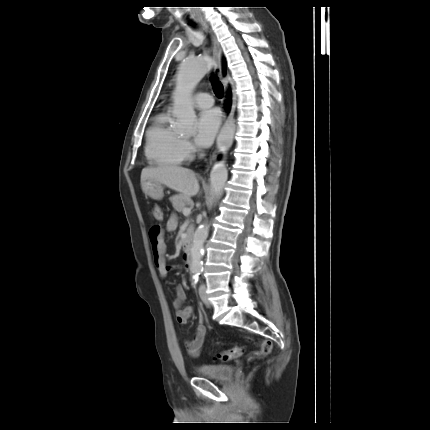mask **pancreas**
I'll return each instance as SVG.
<instances>
[{"instance_id": "1", "label": "pancreas", "mask_w": 430, "mask_h": 430, "mask_svg": "<svg viewBox=\"0 0 430 430\" xmlns=\"http://www.w3.org/2000/svg\"><path fill=\"white\" fill-rule=\"evenodd\" d=\"M170 201L172 202L174 209L178 212H183L186 206L191 203L190 197L183 194L172 196Z\"/></svg>"}]
</instances>
